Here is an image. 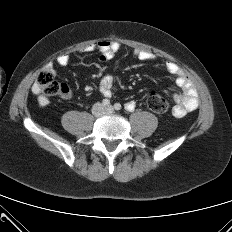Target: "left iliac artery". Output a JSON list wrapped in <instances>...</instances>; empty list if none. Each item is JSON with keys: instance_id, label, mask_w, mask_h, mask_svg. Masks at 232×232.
I'll return each mask as SVG.
<instances>
[{"instance_id": "obj_1", "label": "left iliac artery", "mask_w": 232, "mask_h": 232, "mask_svg": "<svg viewBox=\"0 0 232 232\" xmlns=\"http://www.w3.org/2000/svg\"><path fill=\"white\" fill-rule=\"evenodd\" d=\"M114 108L116 110H120L121 109V104L120 103H115ZM133 109H134V107H131V106L127 107V110H129V111H132Z\"/></svg>"}]
</instances>
